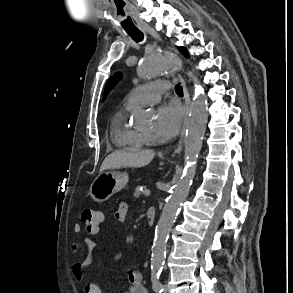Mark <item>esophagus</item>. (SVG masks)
<instances>
[{
  "label": "esophagus",
  "instance_id": "esophagus-1",
  "mask_svg": "<svg viewBox=\"0 0 293 293\" xmlns=\"http://www.w3.org/2000/svg\"><path fill=\"white\" fill-rule=\"evenodd\" d=\"M142 30L145 31V32L150 33L153 37L158 38L157 33L155 32V30L152 27H150L148 25H144L142 27ZM179 79H180L181 85L183 87V93H184V98H185V103H186V106H187V110L189 111V108H190L189 93H188V90L186 88V84H185L184 79L181 76H179ZM184 131H185V124H184L183 130H182V133H181V138H180L179 144H178L177 148L175 149V153H179L182 150L181 142H182V138H183V135H184Z\"/></svg>",
  "mask_w": 293,
  "mask_h": 293
}]
</instances>
